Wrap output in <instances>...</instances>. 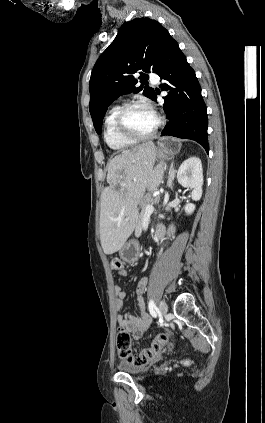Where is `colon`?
Segmentation results:
<instances>
[{
    "instance_id": "obj_1",
    "label": "colon",
    "mask_w": 265,
    "mask_h": 423,
    "mask_svg": "<svg viewBox=\"0 0 265 423\" xmlns=\"http://www.w3.org/2000/svg\"><path fill=\"white\" fill-rule=\"evenodd\" d=\"M111 268L117 273L122 271L124 269L123 260L120 258L112 259ZM168 343L169 335L166 333H160L155 336L149 346L134 353L132 350L130 335L125 328L121 327L118 329L116 338V346L119 356L125 359L129 365L134 367H142L147 365L149 362L160 355ZM184 363L188 364L189 360H184Z\"/></svg>"
}]
</instances>
